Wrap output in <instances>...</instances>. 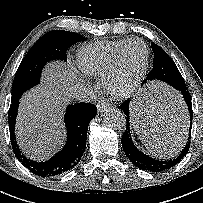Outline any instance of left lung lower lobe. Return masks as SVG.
<instances>
[{"mask_svg": "<svg viewBox=\"0 0 203 203\" xmlns=\"http://www.w3.org/2000/svg\"><path fill=\"white\" fill-rule=\"evenodd\" d=\"M165 78H166L165 82L172 85L176 90H179L183 95L187 108L184 107L183 101H182V106L184 107L185 112L188 109L189 116H190V129H189L188 142L178 156L174 158H169V159H155V158L149 157L148 155L138 150L134 145L130 134L129 100H126L119 106V109H121V111L124 112L127 118V127L121 139L123 150L126 156L129 158V160L136 167L149 172H163L174 167L184 158V156L187 154L190 148V134H191V126H192V103H191L190 93L187 92L186 86L184 84V79L182 76L179 75V72L176 68L173 69L172 67H169V72L166 74Z\"/></svg>", "mask_w": 203, "mask_h": 203, "instance_id": "left-lung-lower-lobe-1", "label": "left lung lower lobe"}]
</instances>
